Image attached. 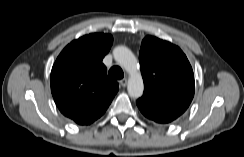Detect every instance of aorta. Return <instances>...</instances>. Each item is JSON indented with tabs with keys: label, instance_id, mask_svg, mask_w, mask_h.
<instances>
[{
	"label": "aorta",
	"instance_id": "obj_1",
	"mask_svg": "<svg viewBox=\"0 0 244 157\" xmlns=\"http://www.w3.org/2000/svg\"><path fill=\"white\" fill-rule=\"evenodd\" d=\"M115 61L128 73L127 90L131 97L138 98L143 94L144 83L140 72L137 69V60L130 49L125 46H117L113 50Z\"/></svg>",
	"mask_w": 244,
	"mask_h": 157
}]
</instances>
